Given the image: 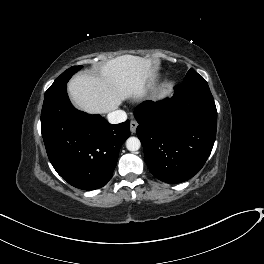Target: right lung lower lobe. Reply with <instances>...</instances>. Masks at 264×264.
Returning a JSON list of instances; mask_svg holds the SVG:
<instances>
[{
  "label": "right lung lower lobe",
  "instance_id": "right-lung-lower-lobe-1",
  "mask_svg": "<svg viewBox=\"0 0 264 264\" xmlns=\"http://www.w3.org/2000/svg\"><path fill=\"white\" fill-rule=\"evenodd\" d=\"M129 123L112 125L100 115L76 110L67 85L45 95L41 132L56 172L83 190L103 187L113 175L119 150L129 137Z\"/></svg>",
  "mask_w": 264,
  "mask_h": 264
}]
</instances>
